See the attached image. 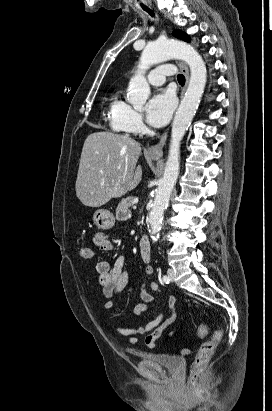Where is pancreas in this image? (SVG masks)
I'll list each match as a JSON object with an SVG mask.
<instances>
[{"instance_id": "1", "label": "pancreas", "mask_w": 272, "mask_h": 411, "mask_svg": "<svg viewBox=\"0 0 272 411\" xmlns=\"http://www.w3.org/2000/svg\"><path fill=\"white\" fill-rule=\"evenodd\" d=\"M133 197L132 196H128L126 198H124L117 206L116 208V213L120 214L123 213L125 211H127L132 205H133Z\"/></svg>"}]
</instances>
